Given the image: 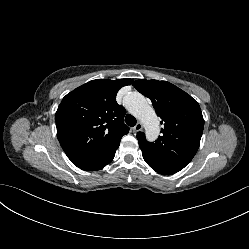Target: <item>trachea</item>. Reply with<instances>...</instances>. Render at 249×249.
Listing matches in <instances>:
<instances>
[{
	"label": "trachea",
	"instance_id": "obj_1",
	"mask_svg": "<svg viewBox=\"0 0 249 249\" xmlns=\"http://www.w3.org/2000/svg\"><path fill=\"white\" fill-rule=\"evenodd\" d=\"M125 122H126V124H127L128 126L133 127V126L136 125V122H137V121H136V119H135L132 115L127 114L126 117H125Z\"/></svg>",
	"mask_w": 249,
	"mask_h": 249
}]
</instances>
